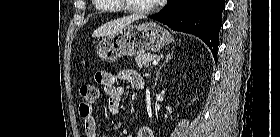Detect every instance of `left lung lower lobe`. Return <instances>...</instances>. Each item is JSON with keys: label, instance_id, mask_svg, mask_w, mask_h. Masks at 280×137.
<instances>
[{"label": "left lung lower lobe", "instance_id": "left-lung-lower-lobe-1", "mask_svg": "<svg viewBox=\"0 0 280 137\" xmlns=\"http://www.w3.org/2000/svg\"><path fill=\"white\" fill-rule=\"evenodd\" d=\"M225 0H169L163 10L150 18L171 29L202 39L217 62L219 31Z\"/></svg>", "mask_w": 280, "mask_h": 137}]
</instances>
